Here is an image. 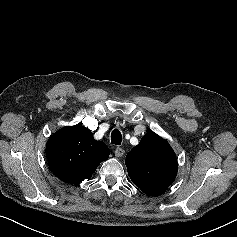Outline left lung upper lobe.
I'll use <instances>...</instances> for the list:
<instances>
[{
  "label": "left lung upper lobe",
  "instance_id": "obj_1",
  "mask_svg": "<svg viewBox=\"0 0 237 237\" xmlns=\"http://www.w3.org/2000/svg\"><path fill=\"white\" fill-rule=\"evenodd\" d=\"M125 164L132 182L148 195L165 191L177 175V159L173 149L154 132L145 134L140 143L131 149Z\"/></svg>",
  "mask_w": 237,
  "mask_h": 237
}]
</instances>
